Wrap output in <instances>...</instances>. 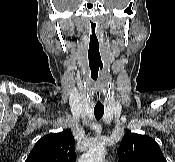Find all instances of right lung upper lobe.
I'll use <instances>...</instances> for the list:
<instances>
[{"instance_id":"1","label":"right lung upper lobe","mask_w":175,"mask_h":162,"mask_svg":"<svg viewBox=\"0 0 175 162\" xmlns=\"http://www.w3.org/2000/svg\"><path fill=\"white\" fill-rule=\"evenodd\" d=\"M74 137L70 130L50 133L33 147L25 162H75Z\"/></svg>"}]
</instances>
